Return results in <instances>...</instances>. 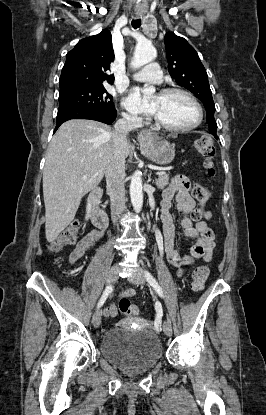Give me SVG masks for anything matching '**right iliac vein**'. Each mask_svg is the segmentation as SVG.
<instances>
[{"label": "right iliac vein", "mask_w": 266, "mask_h": 415, "mask_svg": "<svg viewBox=\"0 0 266 415\" xmlns=\"http://www.w3.org/2000/svg\"><path fill=\"white\" fill-rule=\"evenodd\" d=\"M119 270H120V267L117 264H115L111 267V269L109 270L108 275H107V283L108 284L113 283L118 279ZM101 315H102L101 310H97L93 315L92 323H93L94 327H96V328L99 327V325L101 323Z\"/></svg>", "instance_id": "obj_1"}]
</instances>
